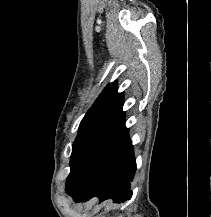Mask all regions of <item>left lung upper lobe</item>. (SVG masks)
Masks as SVG:
<instances>
[{"label":"left lung upper lobe","mask_w":211,"mask_h":217,"mask_svg":"<svg viewBox=\"0 0 211 217\" xmlns=\"http://www.w3.org/2000/svg\"><path fill=\"white\" fill-rule=\"evenodd\" d=\"M123 98V93H117L116 82L110 83L84 116L73 144L66 184L76 179L100 148L125 127Z\"/></svg>","instance_id":"left-lung-upper-lobe-1"}]
</instances>
